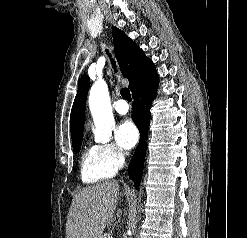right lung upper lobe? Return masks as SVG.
Returning <instances> with one entry per match:
<instances>
[{"instance_id": "1", "label": "right lung upper lobe", "mask_w": 247, "mask_h": 238, "mask_svg": "<svg viewBox=\"0 0 247 238\" xmlns=\"http://www.w3.org/2000/svg\"><path fill=\"white\" fill-rule=\"evenodd\" d=\"M113 40L116 59L123 76L129 80L128 87L133 93L156 74L154 64L124 32L116 27L113 28ZM89 86L90 79L84 74L79 81L70 116L72 143L83 139L85 104Z\"/></svg>"}]
</instances>
